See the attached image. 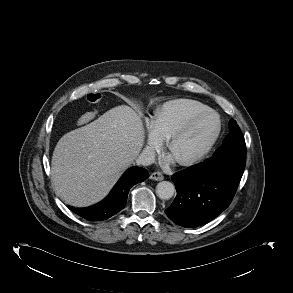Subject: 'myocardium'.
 I'll return each mask as SVG.
<instances>
[{
	"label": "myocardium",
	"mask_w": 293,
	"mask_h": 293,
	"mask_svg": "<svg viewBox=\"0 0 293 293\" xmlns=\"http://www.w3.org/2000/svg\"><path fill=\"white\" fill-rule=\"evenodd\" d=\"M208 116H213L216 119V127L214 132L212 133L211 137L206 142V144L203 146V148L196 155L186 160H178L180 165L182 166L195 165L199 163L210 152V150L215 145L221 133V128H222L221 118L218 113L210 109L197 113L193 115L192 117H190L186 122H184L177 130H175L168 137L166 145L168 150L171 151V147L177 139H179L184 134H186L198 121Z\"/></svg>",
	"instance_id": "f54148a6"
}]
</instances>
